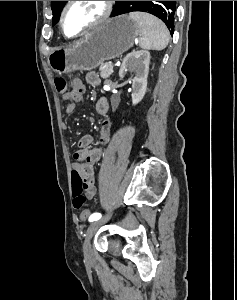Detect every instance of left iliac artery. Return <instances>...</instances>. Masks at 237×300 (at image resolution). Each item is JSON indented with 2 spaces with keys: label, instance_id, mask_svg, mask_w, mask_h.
Segmentation results:
<instances>
[{
  "label": "left iliac artery",
  "instance_id": "44dca946",
  "mask_svg": "<svg viewBox=\"0 0 237 300\" xmlns=\"http://www.w3.org/2000/svg\"><path fill=\"white\" fill-rule=\"evenodd\" d=\"M101 218V214L100 213H93L90 217H89V221L93 222V221H97Z\"/></svg>",
  "mask_w": 237,
  "mask_h": 300
}]
</instances>
